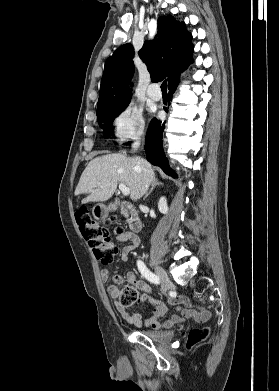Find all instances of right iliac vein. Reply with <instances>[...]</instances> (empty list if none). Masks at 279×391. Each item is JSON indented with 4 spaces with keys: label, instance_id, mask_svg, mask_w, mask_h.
<instances>
[{
    "label": "right iliac vein",
    "instance_id": "1",
    "mask_svg": "<svg viewBox=\"0 0 279 391\" xmlns=\"http://www.w3.org/2000/svg\"><path fill=\"white\" fill-rule=\"evenodd\" d=\"M155 272L162 281V291L166 293L171 287V281L163 268L160 266L155 267Z\"/></svg>",
    "mask_w": 279,
    "mask_h": 391
}]
</instances>
